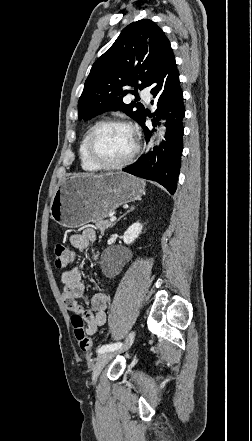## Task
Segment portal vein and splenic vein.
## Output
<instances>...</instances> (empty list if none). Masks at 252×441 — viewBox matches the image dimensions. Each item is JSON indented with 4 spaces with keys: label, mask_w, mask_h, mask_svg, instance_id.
<instances>
[{
    "label": "portal vein and splenic vein",
    "mask_w": 252,
    "mask_h": 441,
    "mask_svg": "<svg viewBox=\"0 0 252 441\" xmlns=\"http://www.w3.org/2000/svg\"><path fill=\"white\" fill-rule=\"evenodd\" d=\"M110 221H111V222L116 221V217H115V216L110 217Z\"/></svg>",
    "instance_id": "obj_1"
}]
</instances>
